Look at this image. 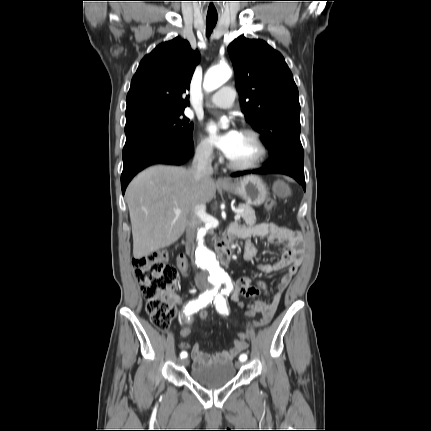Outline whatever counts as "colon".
I'll return each instance as SVG.
<instances>
[{
	"label": "colon",
	"instance_id": "1",
	"mask_svg": "<svg viewBox=\"0 0 431 431\" xmlns=\"http://www.w3.org/2000/svg\"><path fill=\"white\" fill-rule=\"evenodd\" d=\"M275 202L267 200L265 207L268 211L273 210ZM134 274L139 282L142 294L146 300V311L151 323L160 330L168 328L173 315L172 306L169 300L170 291L178 284V273L176 268L168 263L167 254L164 252H154L143 257L133 259ZM243 316L249 319H256V311H242ZM199 323L206 325L209 322V311L207 309L198 310ZM198 324L195 318H191L180 329V339L186 342L193 329ZM246 332L238 330V339L243 341Z\"/></svg>",
	"mask_w": 431,
	"mask_h": 431
}]
</instances>
